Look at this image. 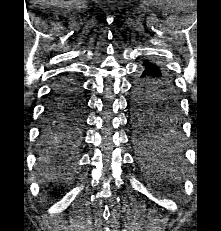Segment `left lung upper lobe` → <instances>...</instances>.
<instances>
[{
  "mask_svg": "<svg viewBox=\"0 0 221 231\" xmlns=\"http://www.w3.org/2000/svg\"><path fill=\"white\" fill-rule=\"evenodd\" d=\"M156 72V85L141 89L139 99L132 100V123L136 128L135 139L137 142H145L155 136L160 130L166 132L170 126L178 121V98L174 84L168 72L148 61L143 63ZM153 96L169 99L163 105L152 107L148 100ZM157 130V131H156Z\"/></svg>",
  "mask_w": 221,
  "mask_h": 231,
  "instance_id": "obj_1",
  "label": "left lung upper lobe"
}]
</instances>
